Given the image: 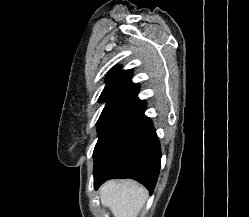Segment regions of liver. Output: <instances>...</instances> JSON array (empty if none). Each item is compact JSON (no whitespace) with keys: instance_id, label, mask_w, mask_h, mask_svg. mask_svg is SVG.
<instances>
[{"instance_id":"obj_1","label":"liver","mask_w":249,"mask_h":217,"mask_svg":"<svg viewBox=\"0 0 249 217\" xmlns=\"http://www.w3.org/2000/svg\"><path fill=\"white\" fill-rule=\"evenodd\" d=\"M147 197V190L132 180H110L100 188L101 203L113 217H138Z\"/></svg>"}]
</instances>
